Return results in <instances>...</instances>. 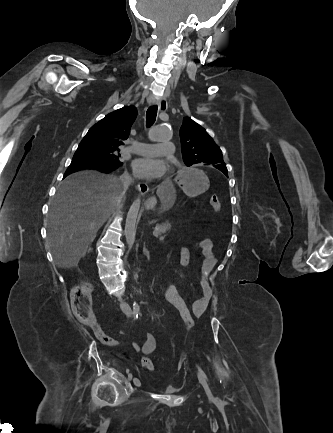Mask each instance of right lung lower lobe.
Masks as SVG:
<instances>
[{"label":"right lung lower lobe","instance_id":"right-lung-lower-lobe-1","mask_svg":"<svg viewBox=\"0 0 333 433\" xmlns=\"http://www.w3.org/2000/svg\"><path fill=\"white\" fill-rule=\"evenodd\" d=\"M120 166H122V164L111 165V164L102 163L93 160H72L70 166L68 167L67 171L64 174V177L80 169L93 168V169H99L104 173H109L111 171L116 170Z\"/></svg>","mask_w":333,"mask_h":433}]
</instances>
